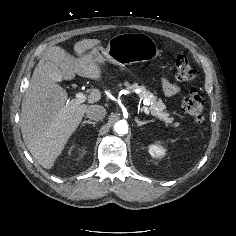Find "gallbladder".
<instances>
[{"label": "gallbladder", "instance_id": "1", "mask_svg": "<svg viewBox=\"0 0 236 236\" xmlns=\"http://www.w3.org/2000/svg\"><path fill=\"white\" fill-rule=\"evenodd\" d=\"M48 74H49L50 78L55 80V81H61V79H62L61 71L55 65H51L49 67Z\"/></svg>", "mask_w": 236, "mask_h": 236}]
</instances>
